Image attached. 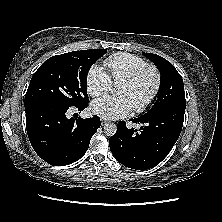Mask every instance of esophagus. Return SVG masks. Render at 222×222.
I'll list each match as a JSON object with an SVG mask.
<instances>
[{"mask_svg":"<svg viewBox=\"0 0 222 222\" xmlns=\"http://www.w3.org/2000/svg\"><path fill=\"white\" fill-rule=\"evenodd\" d=\"M101 123H102V125H105V124L108 123V121H106V120H101Z\"/></svg>","mask_w":222,"mask_h":222,"instance_id":"esophagus-1","label":"esophagus"}]
</instances>
